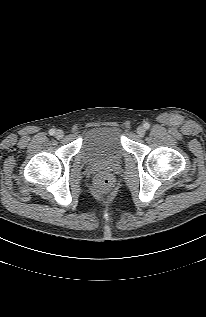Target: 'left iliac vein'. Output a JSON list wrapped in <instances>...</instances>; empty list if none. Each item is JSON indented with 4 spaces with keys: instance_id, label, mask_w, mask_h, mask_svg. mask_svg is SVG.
I'll use <instances>...</instances> for the list:
<instances>
[{
    "instance_id": "1",
    "label": "left iliac vein",
    "mask_w": 206,
    "mask_h": 317,
    "mask_svg": "<svg viewBox=\"0 0 206 317\" xmlns=\"http://www.w3.org/2000/svg\"><path fill=\"white\" fill-rule=\"evenodd\" d=\"M138 136L143 137L146 133V130L143 126H139L136 130Z\"/></svg>"
}]
</instances>
